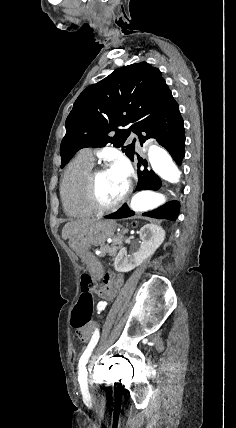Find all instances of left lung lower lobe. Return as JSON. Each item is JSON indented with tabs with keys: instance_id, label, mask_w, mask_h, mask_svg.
Instances as JSON below:
<instances>
[{
	"instance_id": "0a47b994",
	"label": "left lung lower lobe",
	"mask_w": 236,
	"mask_h": 428,
	"mask_svg": "<svg viewBox=\"0 0 236 428\" xmlns=\"http://www.w3.org/2000/svg\"><path fill=\"white\" fill-rule=\"evenodd\" d=\"M141 132H144L141 134ZM139 134L141 145L150 138H155L172 156L175 162L180 165L185 155V131L184 121L181 117L179 106L175 100L171 101L167 108L156 118L148 122L142 128ZM138 160L141 161L138 155ZM144 162L139 163L138 167ZM161 187L160 178L152 171L146 168L138 169V184L135 191L140 190H158ZM180 204L177 201H171L160 208L145 212L142 215L152 218H166L175 220L179 213ZM134 211L124 204L118 211L105 216L110 219H120L133 216Z\"/></svg>"
}]
</instances>
